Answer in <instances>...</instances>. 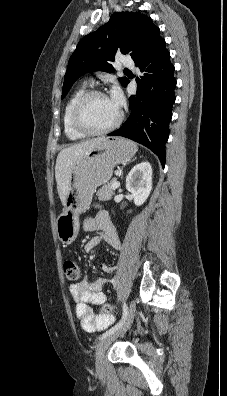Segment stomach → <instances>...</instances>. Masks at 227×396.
Returning <instances> with one entry per match:
<instances>
[{
	"mask_svg": "<svg viewBox=\"0 0 227 396\" xmlns=\"http://www.w3.org/2000/svg\"><path fill=\"white\" fill-rule=\"evenodd\" d=\"M136 145L123 138H105L72 167L63 212L56 220L58 239L72 243L79 232V214L91 204L96 188L106 184L117 164L129 162Z\"/></svg>",
	"mask_w": 227,
	"mask_h": 396,
	"instance_id": "1",
	"label": "stomach"
}]
</instances>
